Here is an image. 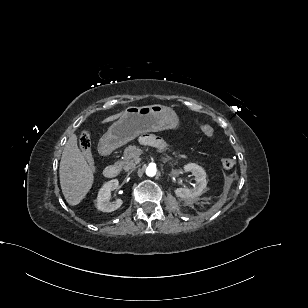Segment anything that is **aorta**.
<instances>
[{"mask_svg":"<svg viewBox=\"0 0 308 308\" xmlns=\"http://www.w3.org/2000/svg\"><path fill=\"white\" fill-rule=\"evenodd\" d=\"M156 166L154 164H150L147 168H146V175L153 177L156 175Z\"/></svg>","mask_w":308,"mask_h":308,"instance_id":"762f6f07","label":"aorta"}]
</instances>
